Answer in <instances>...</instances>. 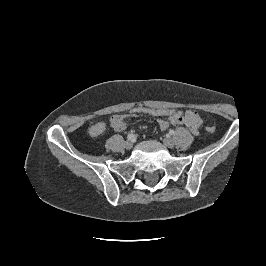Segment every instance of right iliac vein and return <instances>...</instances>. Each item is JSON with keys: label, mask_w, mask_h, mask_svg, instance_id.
Wrapping results in <instances>:
<instances>
[{"label": "right iliac vein", "mask_w": 266, "mask_h": 266, "mask_svg": "<svg viewBox=\"0 0 266 266\" xmlns=\"http://www.w3.org/2000/svg\"><path fill=\"white\" fill-rule=\"evenodd\" d=\"M124 146H125L126 149H131L133 147V141L132 140H127L124 143Z\"/></svg>", "instance_id": "right-iliac-vein-1"}]
</instances>
